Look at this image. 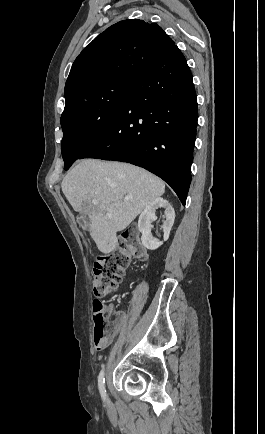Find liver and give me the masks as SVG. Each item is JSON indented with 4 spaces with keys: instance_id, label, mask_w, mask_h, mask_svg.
Here are the masks:
<instances>
[{
    "instance_id": "1",
    "label": "liver",
    "mask_w": 265,
    "mask_h": 434,
    "mask_svg": "<svg viewBox=\"0 0 265 434\" xmlns=\"http://www.w3.org/2000/svg\"><path fill=\"white\" fill-rule=\"evenodd\" d=\"M61 188L73 210L88 216L90 236L103 254L113 252L117 232L165 192L164 182L142 168L100 160H81L67 172ZM121 198L132 200L116 204ZM92 200H98V206Z\"/></svg>"
}]
</instances>
